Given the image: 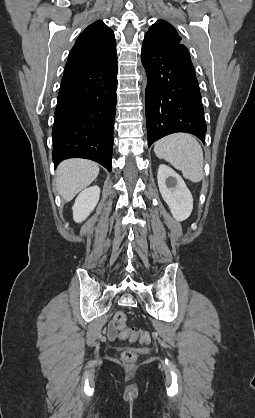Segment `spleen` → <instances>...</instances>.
Listing matches in <instances>:
<instances>
[{
	"label": "spleen",
	"instance_id": "obj_1",
	"mask_svg": "<svg viewBox=\"0 0 255 418\" xmlns=\"http://www.w3.org/2000/svg\"><path fill=\"white\" fill-rule=\"evenodd\" d=\"M154 152L180 170L186 179L200 182L204 177V158L197 139L187 133H174L156 141Z\"/></svg>",
	"mask_w": 255,
	"mask_h": 418
}]
</instances>
